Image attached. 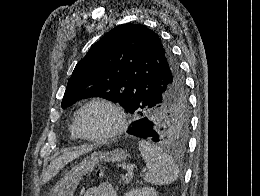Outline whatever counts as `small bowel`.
Returning <instances> with one entry per match:
<instances>
[{"label": "small bowel", "mask_w": 260, "mask_h": 196, "mask_svg": "<svg viewBox=\"0 0 260 196\" xmlns=\"http://www.w3.org/2000/svg\"><path fill=\"white\" fill-rule=\"evenodd\" d=\"M85 196H117V193L110 183L103 182L98 186L90 187Z\"/></svg>", "instance_id": "obj_1"}]
</instances>
